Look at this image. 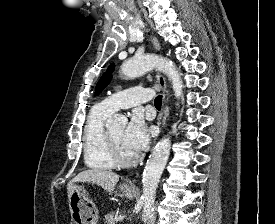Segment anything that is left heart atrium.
Instances as JSON below:
<instances>
[{
    "instance_id": "obj_1",
    "label": "left heart atrium",
    "mask_w": 275,
    "mask_h": 224,
    "mask_svg": "<svg viewBox=\"0 0 275 224\" xmlns=\"http://www.w3.org/2000/svg\"><path fill=\"white\" fill-rule=\"evenodd\" d=\"M123 142L126 148L134 154L142 152L149 143V134L143 118L134 114L124 130Z\"/></svg>"
}]
</instances>
